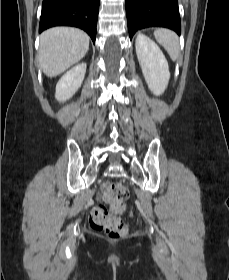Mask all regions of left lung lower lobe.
<instances>
[{"label": "left lung lower lobe", "instance_id": "1", "mask_svg": "<svg viewBox=\"0 0 229 280\" xmlns=\"http://www.w3.org/2000/svg\"><path fill=\"white\" fill-rule=\"evenodd\" d=\"M130 39L146 27H166L181 33L178 0H125Z\"/></svg>", "mask_w": 229, "mask_h": 280}]
</instances>
